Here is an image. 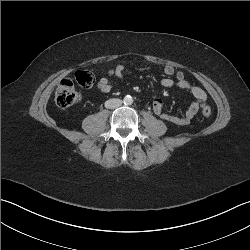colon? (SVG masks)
<instances>
[{
  "instance_id": "obj_1",
  "label": "colon",
  "mask_w": 250,
  "mask_h": 250,
  "mask_svg": "<svg viewBox=\"0 0 250 250\" xmlns=\"http://www.w3.org/2000/svg\"><path fill=\"white\" fill-rule=\"evenodd\" d=\"M94 76L88 71H78L75 74L74 80L63 79L55 94L56 104L61 108H67L76 104L80 100V93L76 89V85L87 88L93 84ZM204 117L209 118L212 114L211 107L205 105L202 108Z\"/></svg>"
}]
</instances>
